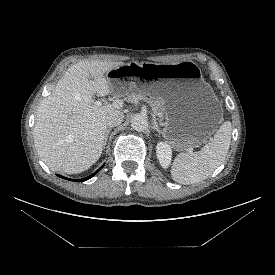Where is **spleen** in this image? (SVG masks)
Masks as SVG:
<instances>
[{
  "mask_svg": "<svg viewBox=\"0 0 275 275\" xmlns=\"http://www.w3.org/2000/svg\"><path fill=\"white\" fill-rule=\"evenodd\" d=\"M232 125L225 121L200 151L180 153L174 159L171 176L180 184H195L207 179L220 166L231 143Z\"/></svg>",
  "mask_w": 275,
  "mask_h": 275,
  "instance_id": "obj_1",
  "label": "spleen"
}]
</instances>
